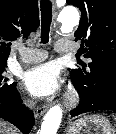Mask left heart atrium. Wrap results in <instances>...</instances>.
I'll return each instance as SVG.
<instances>
[{"mask_svg": "<svg viewBox=\"0 0 116 134\" xmlns=\"http://www.w3.org/2000/svg\"><path fill=\"white\" fill-rule=\"evenodd\" d=\"M26 89L35 97H50L60 90V77L51 63L37 66L24 77Z\"/></svg>", "mask_w": 116, "mask_h": 134, "instance_id": "left-heart-atrium-1", "label": "left heart atrium"}]
</instances>
